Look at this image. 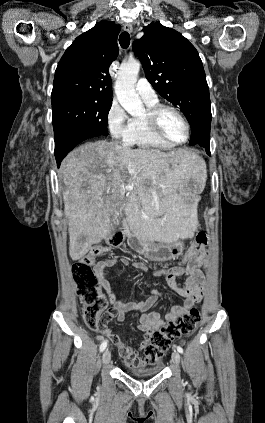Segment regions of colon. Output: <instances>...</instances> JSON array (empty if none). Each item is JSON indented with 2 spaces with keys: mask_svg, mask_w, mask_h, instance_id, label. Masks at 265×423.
<instances>
[{
  "mask_svg": "<svg viewBox=\"0 0 265 423\" xmlns=\"http://www.w3.org/2000/svg\"><path fill=\"white\" fill-rule=\"evenodd\" d=\"M124 233L117 231L104 244L93 247L80 260L72 264L71 272L77 283V295L84 304L83 318L86 325L92 330L101 331L111 335L109 324L113 318V312L107 309L105 296L99 290V279L92 269L95 260L106 254L111 248L118 247L124 242ZM207 235L200 232L196 241L184 256L185 262L192 261L205 249ZM200 321V313L197 308L178 316L169 324L153 332L150 342L144 346V359L135 366L156 365L163 354L169 349L171 342L181 336L192 333Z\"/></svg>",
  "mask_w": 265,
  "mask_h": 423,
  "instance_id": "5ec220e1",
  "label": "colon"
}]
</instances>
